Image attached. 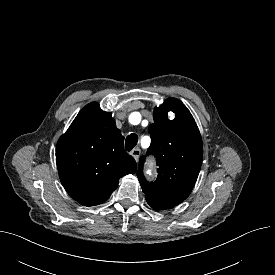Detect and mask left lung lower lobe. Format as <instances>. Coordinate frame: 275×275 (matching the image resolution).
Returning <instances> with one entry per match:
<instances>
[{
  "instance_id": "1",
  "label": "left lung lower lobe",
  "mask_w": 275,
  "mask_h": 275,
  "mask_svg": "<svg viewBox=\"0 0 275 275\" xmlns=\"http://www.w3.org/2000/svg\"><path fill=\"white\" fill-rule=\"evenodd\" d=\"M145 198H146L148 204L156 210L170 209V208L177 206L179 203L182 202L180 200L160 199V198H154V197H149V196H145Z\"/></svg>"
}]
</instances>
